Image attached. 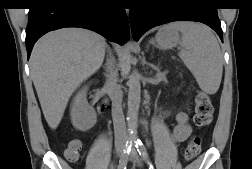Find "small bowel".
<instances>
[{
    "label": "small bowel",
    "instance_id": "1",
    "mask_svg": "<svg viewBox=\"0 0 252 169\" xmlns=\"http://www.w3.org/2000/svg\"><path fill=\"white\" fill-rule=\"evenodd\" d=\"M168 112L165 113L167 115ZM191 127L188 122V115L184 112H179L176 115V126L174 127L173 130V137L177 142H184L186 141L190 136H191ZM77 144L78 145V150H81V142L77 139L71 140L70 143L68 144V147Z\"/></svg>",
    "mask_w": 252,
    "mask_h": 169
}]
</instances>
